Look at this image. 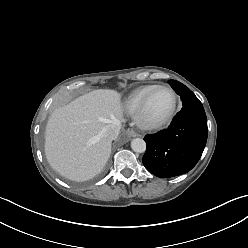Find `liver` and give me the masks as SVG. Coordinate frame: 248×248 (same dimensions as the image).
Masks as SVG:
<instances>
[{
    "mask_svg": "<svg viewBox=\"0 0 248 248\" xmlns=\"http://www.w3.org/2000/svg\"><path fill=\"white\" fill-rule=\"evenodd\" d=\"M114 120H123L121 95L115 90H94L54 110L45 130V154L51 167L75 181L100 173L112 144L103 129Z\"/></svg>",
    "mask_w": 248,
    "mask_h": 248,
    "instance_id": "6515ba94",
    "label": "liver"
}]
</instances>
